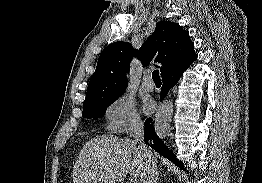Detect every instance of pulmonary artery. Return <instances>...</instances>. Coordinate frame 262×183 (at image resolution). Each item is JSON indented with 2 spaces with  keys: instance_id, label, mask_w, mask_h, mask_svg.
I'll return each mask as SVG.
<instances>
[{
  "instance_id": "1",
  "label": "pulmonary artery",
  "mask_w": 262,
  "mask_h": 183,
  "mask_svg": "<svg viewBox=\"0 0 262 183\" xmlns=\"http://www.w3.org/2000/svg\"><path fill=\"white\" fill-rule=\"evenodd\" d=\"M154 83L151 81L149 75H145L142 81V88L146 91H153L154 90Z\"/></svg>"
}]
</instances>
